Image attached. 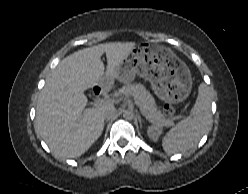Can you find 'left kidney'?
<instances>
[{
  "label": "left kidney",
  "instance_id": "obj_1",
  "mask_svg": "<svg viewBox=\"0 0 248 194\" xmlns=\"http://www.w3.org/2000/svg\"><path fill=\"white\" fill-rule=\"evenodd\" d=\"M147 133L150 139H152L153 141H157L160 134L162 133V128L157 124L151 125L148 127Z\"/></svg>",
  "mask_w": 248,
  "mask_h": 194
}]
</instances>
